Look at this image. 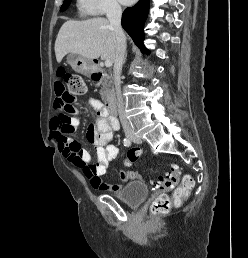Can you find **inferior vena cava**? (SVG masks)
<instances>
[{
    "label": "inferior vena cava",
    "mask_w": 248,
    "mask_h": 258,
    "mask_svg": "<svg viewBox=\"0 0 248 258\" xmlns=\"http://www.w3.org/2000/svg\"><path fill=\"white\" fill-rule=\"evenodd\" d=\"M121 16H122V10L120 5L115 1L110 2L107 10V18H108L110 27L114 30L116 35V52H115V58H114L113 77H114V84H115L116 97H117V107H118L119 118H120L123 130L126 135H129L133 133V129L130 123L128 122V119L125 113L124 103H123V98L121 95V88H120V83H121L120 76H121L122 65H123L125 52H126V37L121 27Z\"/></svg>",
    "instance_id": "inferior-vena-cava-1"
}]
</instances>
